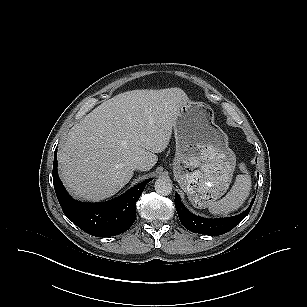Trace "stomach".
Returning <instances> with one entry per match:
<instances>
[{
  "label": "stomach",
  "instance_id": "0dacf381",
  "mask_svg": "<svg viewBox=\"0 0 307 307\" xmlns=\"http://www.w3.org/2000/svg\"><path fill=\"white\" fill-rule=\"evenodd\" d=\"M173 129L174 177L195 206L205 207L224 195L233 177L236 156L228 136L208 105L190 100L181 102Z\"/></svg>",
  "mask_w": 307,
  "mask_h": 307
}]
</instances>
